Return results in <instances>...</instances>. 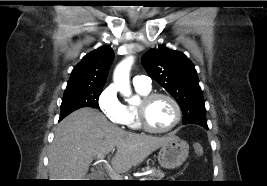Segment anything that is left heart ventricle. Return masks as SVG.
<instances>
[{"instance_id":"left-heart-ventricle-1","label":"left heart ventricle","mask_w":267,"mask_h":186,"mask_svg":"<svg viewBox=\"0 0 267 186\" xmlns=\"http://www.w3.org/2000/svg\"><path fill=\"white\" fill-rule=\"evenodd\" d=\"M147 118L152 127L163 129L172 124L175 118V111L167 99L157 98L150 104Z\"/></svg>"}]
</instances>
